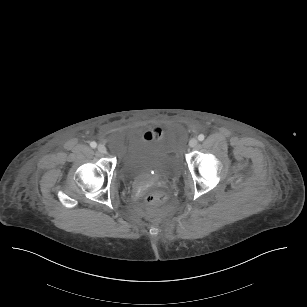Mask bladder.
<instances>
[{"instance_id": "1", "label": "bladder", "mask_w": 307, "mask_h": 307, "mask_svg": "<svg viewBox=\"0 0 307 307\" xmlns=\"http://www.w3.org/2000/svg\"><path fill=\"white\" fill-rule=\"evenodd\" d=\"M158 168L170 173L179 171L176 154L166 145L142 141L125 148L119 156V173L126 180H140Z\"/></svg>"}]
</instances>
